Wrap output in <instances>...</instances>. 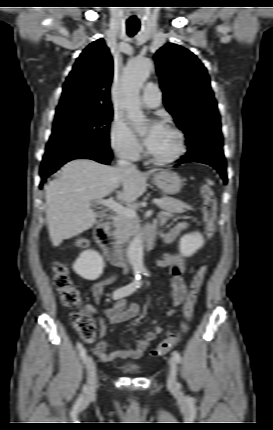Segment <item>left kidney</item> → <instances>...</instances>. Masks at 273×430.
<instances>
[{
  "instance_id": "obj_1",
  "label": "left kidney",
  "mask_w": 273,
  "mask_h": 430,
  "mask_svg": "<svg viewBox=\"0 0 273 430\" xmlns=\"http://www.w3.org/2000/svg\"><path fill=\"white\" fill-rule=\"evenodd\" d=\"M205 241L199 232L185 234L179 241L181 253L187 257L192 256L198 249L203 247Z\"/></svg>"
}]
</instances>
